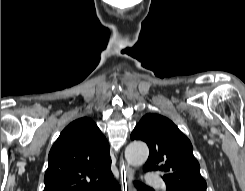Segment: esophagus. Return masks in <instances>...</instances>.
Here are the masks:
<instances>
[{"label":"esophagus","instance_id":"obj_1","mask_svg":"<svg viewBox=\"0 0 245 191\" xmlns=\"http://www.w3.org/2000/svg\"><path fill=\"white\" fill-rule=\"evenodd\" d=\"M120 184L122 191H133L132 181L134 172L132 168L124 161L123 156L120 157Z\"/></svg>","mask_w":245,"mask_h":191}]
</instances>
